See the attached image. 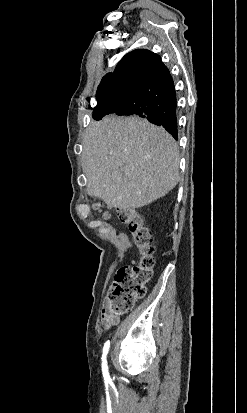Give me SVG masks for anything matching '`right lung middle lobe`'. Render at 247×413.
Masks as SVG:
<instances>
[{
  "label": "right lung middle lobe",
  "instance_id": "right-lung-middle-lobe-1",
  "mask_svg": "<svg viewBox=\"0 0 247 413\" xmlns=\"http://www.w3.org/2000/svg\"><path fill=\"white\" fill-rule=\"evenodd\" d=\"M110 97L135 98L136 90L127 82H101L97 89V101H103Z\"/></svg>",
  "mask_w": 247,
  "mask_h": 413
}]
</instances>
